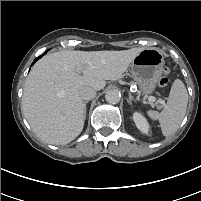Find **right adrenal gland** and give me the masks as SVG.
<instances>
[{"label": "right adrenal gland", "instance_id": "2a0ac1e0", "mask_svg": "<svg viewBox=\"0 0 201 201\" xmlns=\"http://www.w3.org/2000/svg\"><path fill=\"white\" fill-rule=\"evenodd\" d=\"M86 104H87V101L84 102V105H85V114L84 116L86 117Z\"/></svg>", "mask_w": 201, "mask_h": 201}]
</instances>
